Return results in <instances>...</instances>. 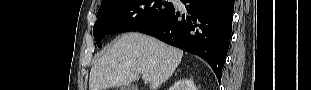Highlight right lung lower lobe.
<instances>
[{"mask_svg": "<svg viewBox=\"0 0 311 90\" xmlns=\"http://www.w3.org/2000/svg\"><path fill=\"white\" fill-rule=\"evenodd\" d=\"M181 1L186 4V14L173 8L161 20L138 31L206 59L220 81L230 43L234 0Z\"/></svg>", "mask_w": 311, "mask_h": 90, "instance_id": "right-lung-lower-lobe-1", "label": "right lung lower lobe"}]
</instances>
